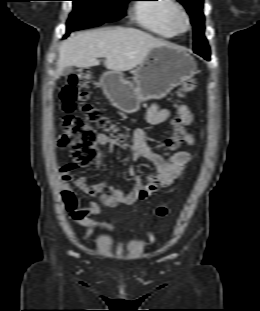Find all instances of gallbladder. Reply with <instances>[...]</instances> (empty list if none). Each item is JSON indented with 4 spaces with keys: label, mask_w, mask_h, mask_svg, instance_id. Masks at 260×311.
Wrapping results in <instances>:
<instances>
[{
    "label": "gallbladder",
    "mask_w": 260,
    "mask_h": 311,
    "mask_svg": "<svg viewBox=\"0 0 260 311\" xmlns=\"http://www.w3.org/2000/svg\"><path fill=\"white\" fill-rule=\"evenodd\" d=\"M73 71H74L73 67H66L62 71V75L67 76V75L73 73Z\"/></svg>",
    "instance_id": "bac80fb5"
}]
</instances>
